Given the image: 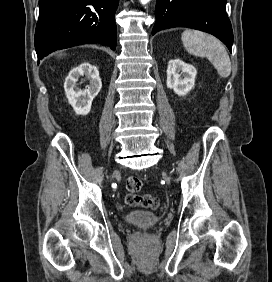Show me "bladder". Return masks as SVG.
Instances as JSON below:
<instances>
[{"instance_id":"31cf9c89","label":"bladder","mask_w":272,"mask_h":282,"mask_svg":"<svg viewBox=\"0 0 272 282\" xmlns=\"http://www.w3.org/2000/svg\"><path fill=\"white\" fill-rule=\"evenodd\" d=\"M124 220L129 224L151 227L159 222V216L147 211H132L124 216Z\"/></svg>"}]
</instances>
